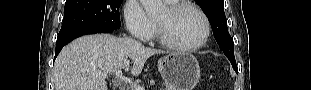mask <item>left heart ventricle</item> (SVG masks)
Here are the masks:
<instances>
[{"label":"left heart ventricle","instance_id":"1","mask_svg":"<svg viewBox=\"0 0 311 90\" xmlns=\"http://www.w3.org/2000/svg\"><path fill=\"white\" fill-rule=\"evenodd\" d=\"M157 20L163 24L169 39L178 45H193L204 35L205 28L201 17L189 8L174 15H170L165 9Z\"/></svg>","mask_w":311,"mask_h":90}]
</instances>
